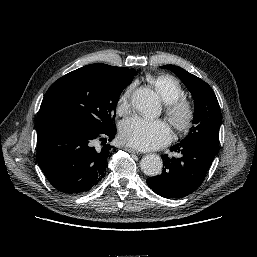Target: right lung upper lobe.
Masks as SVG:
<instances>
[{
	"instance_id": "1",
	"label": "right lung upper lobe",
	"mask_w": 257,
	"mask_h": 257,
	"mask_svg": "<svg viewBox=\"0 0 257 257\" xmlns=\"http://www.w3.org/2000/svg\"><path fill=\"white\" fill-rule=\"evenodd\" d=\"M105 66H107L108 68H116V67H112V66H109V65H106L104 64ZM40 127H37V130L39 129Z\"/></svg>"
}]
</instances>
